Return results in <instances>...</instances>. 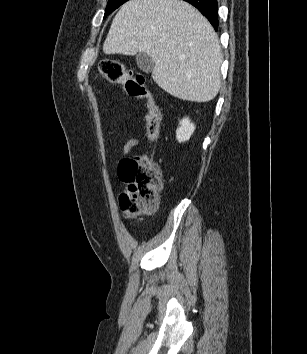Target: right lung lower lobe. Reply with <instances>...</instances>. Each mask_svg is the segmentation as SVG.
<instances>
[{
    "label": "right lung lower lobe",
    "instance_id": "right-lung-lower-lobe-1",
    "mask_svg": "<svg viewBox=\"0 0 307 354\" xmlns=\"http://www.w3.org/2000/svg\"><path fill=\"white\" fill-rule=\"evenodd\" d=\"M195 6L217 30L218 28V3L217 0H184Z\"/></svg>",
    "mask_w": 307,
    "mask_h": 354
}]
</instances>
